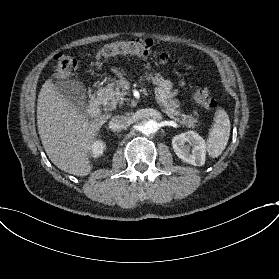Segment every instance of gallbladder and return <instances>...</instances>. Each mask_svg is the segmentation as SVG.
Segmentation results:
<instances>
[{"label": "gallbladder", "instance_id": "gallbladder-1", "mask_svg": "<svg viewBox=\"0 0 279 279\" xmlns=\"http://www.w3.org/2000/svg\"><path fill=\"white\" fill-rule=\"evenodd\" d=\"M55 87L64 98L81 110L88 108L86 88L78 79L62 78L56 81Z\"/></svg>", "mask_w": 279, "mask_h": 279}]
</instances>
